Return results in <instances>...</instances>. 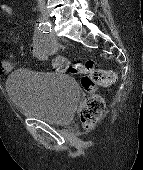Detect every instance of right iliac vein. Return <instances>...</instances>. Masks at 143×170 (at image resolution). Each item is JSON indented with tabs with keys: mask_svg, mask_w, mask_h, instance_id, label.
<instances>
[{
	"mask_svg": "<svg viewBox=\"0 0 143 170\" xmlns=\"http://www.w3.org/2000/svg\"><path fill=\"white\" fill-rule=\"evenodd\" d=\"M43 18H44V20H49V17H48V14H43Z\"/></svg>",
	"mask_w": 143,
	"mask_h": 170,
	"instance_id": "obj_1",
	"label": "right iliac vein"
}]
</instances>
